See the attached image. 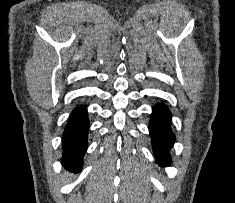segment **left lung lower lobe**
<instances>
[{"mask_svg":"<svg viewBox=\"0 0 235 203\" xmlns=\"http://www.w3.org/2000/svg\"><path fill=\"white\" fill-rule=\"evenodd\" d=\"M171 113L166 105L159 103L153 107L149 125L154 155L163 165H169L170 148L173 146L175 136L171 130Z\"/></svg>","mask_w":235,"mask_h":203,"instance_id":"left-lung-lower-lobe-1","label":"left lung lower lobe"}]
</instances>
